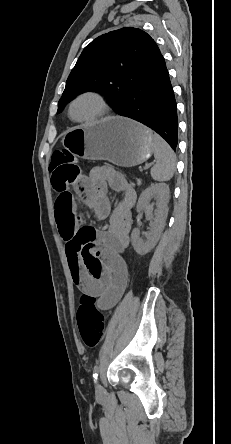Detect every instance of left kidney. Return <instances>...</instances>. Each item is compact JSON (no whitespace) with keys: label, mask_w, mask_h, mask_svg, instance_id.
Wrapping results in <instances>:
<instances>
[{"label":"left kidney","mask_w":231,"mask_h":444,"mask_svg":"<svg viewBox=\"0 0 231 444\" xmlns=\"http://www.w3.org/2000/svg\"><path fill=\"white\" fill-rule=\"evenodd\" d=\"M169 186L165 183L152 184L146 188L140 195L137 203V211L144 210L151 221V229L146 235V240L140 238L139 229L135 228L131 234V241L135 251L139 255H145L150 252L157 244L162 230L165 226L166 217L168 214V202H169ZM155 196L156 209L154 210L153 218V205L150 204L151 198Z\"/></svg>","instance_id":"5707ae66"}]
</instances>
